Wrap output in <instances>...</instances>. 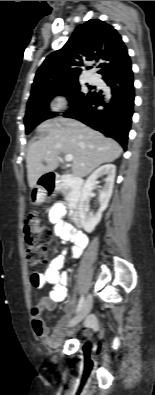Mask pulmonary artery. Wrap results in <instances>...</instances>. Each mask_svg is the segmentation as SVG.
<instances>
[{
  "label": "pulmonary artery",
  "mask_w": 155,
  "mask_h": 395,
  "mask_svg": "<svg viewBox=\"0 0 155 395\" xmlns=\"http://www.w3.org/2000/svg\"><path fill=\"white\" fill-rule=\"evenodd\" d=\"M88 80H89V82H91V83H96V82L98 81V79H97L95 76H90V77L88 78Z\"/></svg>",
  "instance_id": "1"
}]
</instances>
